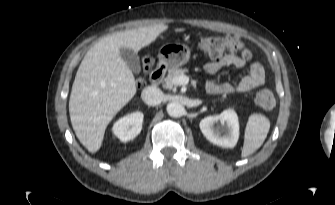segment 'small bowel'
<instances>
[{
	"label": "small bowel",
	"instance_id": "1",
	"mask_svg": "<svg viewBox=\"0 0 335 205\" xmlns=\"http://www.w3.org/2000/svg\"><path fill=\"white\" fill-rule=\"evenodd\" d=\"M245 66L246 60L244 58L235 54H227L220 59L207 63L205 70L208 74H215L223 68L243 69ZM264 81L265 71L263 66L259 62H253L249 67L248 74L236 86L227 82L220 84L209 82L206 84V89L211 94H230L234 91L244 93L263 85Z\"/></svg>",
	"mask_w": 335,
	"mask_h": 205
}]
</instances>
